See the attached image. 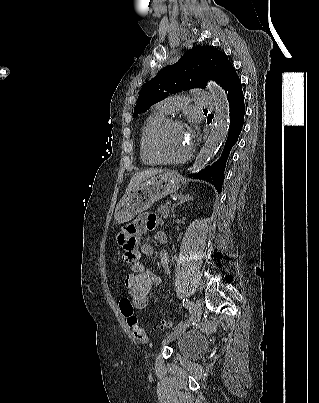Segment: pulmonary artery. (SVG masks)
Returning <instances> with one entry per match:
<instances>
[{"mask_svg":"<svg viewBox=\"0 0 319 403\" xmlns=\"http://www.w3.org/2000/svg\"><path fill=\"white\" fill-rule=\"evenodd\" d=\"M196 104L200 107L209 108L214 106L215 102L212 95L205 91H197L195 93ZM188 105L187 99L181 96L168 97L164 101L157 105V109L169 113L176 111L179 108L186 107Z\"/></svg>","mask_w":319,"mask_h":403,"instance_id":"1","label":"pulmonary artery"}]
</instances>
